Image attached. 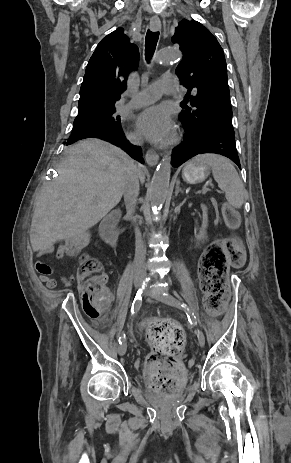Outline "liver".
<instances>
[{
  "label": "liver",
  "instance_id": "1",
  "mask_svg": "<svg viewBox=\"0 0 291 463\" xmlns=\"http://www.w3.org/2000/svg\"><path fill=\"white\" fill-rule=\"evenodd\" d=\"M133 160L100 139H86L65 151L55 180L36 199L30 241L34 251L52 252L61 240L96 225L121 200ZM139 180L145 175L138 167Z\"/></svg>",
  "mask_w": 291,
  "mask_h": 463
}]
</instances>
